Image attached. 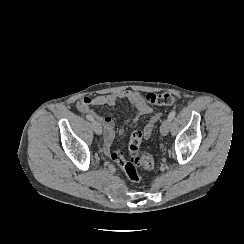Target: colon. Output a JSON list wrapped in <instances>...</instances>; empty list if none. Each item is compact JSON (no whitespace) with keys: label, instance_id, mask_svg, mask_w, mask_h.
I'll use <instances>...</instances> for the list:
<instances>
[{"label":"colon","instance_id":"1","mask_svg":"<svg viewBox=\"0 0 244 244\" xmlns=\"http://www.w3.org/2000/svg\"><path fill=\"white\" fill-rule=\"evenodd\" d=\"M141 101L151 106H171L177 102L176 96L167 93H147ZM143 135L140 130H134L129 139L128 152L130 159H124L121 149L113 150L110 158L124 172L131 183H138L154 166V155L150 152H140Z\"/></svg>","mask_w":244,"mask_h":244}]
</instances>
